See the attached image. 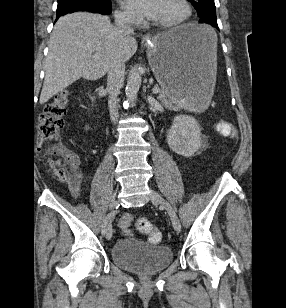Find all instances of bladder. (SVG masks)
<instances>
[{
    "label": "bladder",
    "instance_id": "31cf9c89",
    "mask_svg": "<svg viewBox=\"0 0 286 308\" xmlns=\"http://www.w3.org/2000/svg\"><path fill=\"white\" fill-rule=\"evenodd\" d=\"M111 258L122 269L146 274L164 269L172 261L173 251L167 246L123 238L112 245Z\"/></svg>",
    "mask_w": 286,
    "mask_h": 308
}]
</instances>
